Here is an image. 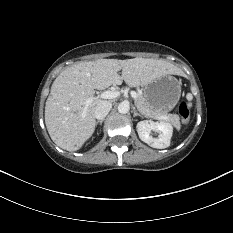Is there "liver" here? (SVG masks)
Here are the masks:
<instances>
[{
	"label": "liver",
	"instance_id": "6515ba94",
	"mask_svg": "<svg viewBox=\"0 0 233 233\" xmlns=\"http://www.w3.org/2000/svg\"><path fill=\"white\" fill-rule=\"evenodd\" d=\"M122 70L121 76L118 72ZM181 74V70L162 59H97L77 63L54 80L45 105V124L51 139L67 151H77L95 130V107L102 101L94 90L120 85L145 86L162 76ZM85 112V117L83 113Z\"/></svg>",
	"mask_w": 233,
	"mask_h": 233
}]
</instances>
